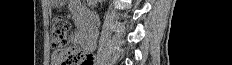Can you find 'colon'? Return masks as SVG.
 <instances>
[{
	"instance_id": "1",
	"label": "colon",
	"mask_w": 232,
	"mask_h": 65,
	"mask_svg": "<svg viewBox=\"0 0 232 65\" xmlns=\"http://www.w3.org/2000/svg\"><path fill=\"white\" fill-rule=\"evenodd\" d=\"M69 30L70 21L66 16L54 18L51 36L55 62L59 65H91L93 61L91 55L82 53L68 45Z\"/></svg>"
}]
</instances>
